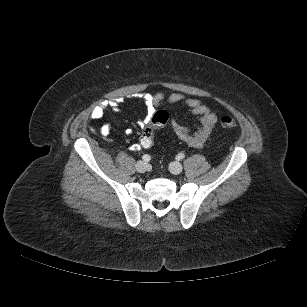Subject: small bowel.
<instances>
[{"label":"small bowel","mask_w":307,"mask_h":307,"mask_svg":"<svg viewBox=\"0 0 307 307\" xmlns=\"http://www.w3.org/2000/svg\"><path fill=\"white\" fill-rule=\"evenodd\" d=\"M134 97L142 101L146 106V115L138 121V125L141 128H145L149 125L158 106L178 103L186 106L192 114L198 117L200 123L198 128L195 131H191L176 120L171 121V127L180 140L193 148L203 147L218 120L217 115L200 100L196 98H186L181 93H172L168 96L161 92L155 94L141 93ZM119 104L120 102L118 100L103 101L92 110L91 118L94 120H101L108 110L118 112ZM110 131L111 127L109 124H104L100 129V133L103 137H108ZM131 133L132 129H126V134L129 135Z\"/></svg>","instance_id":"1"}]
</instances>
